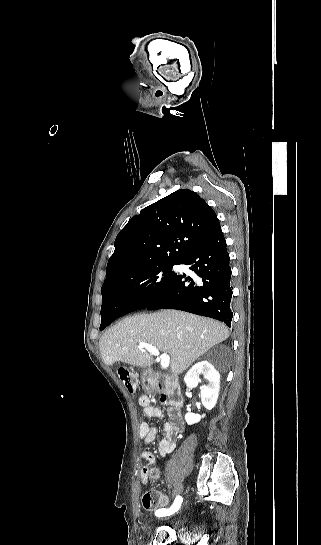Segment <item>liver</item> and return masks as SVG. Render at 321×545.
I'll use <instances>...</instances> for the list:
<instances>
[{
  "label": "liver",
  "mask_w": 321,
  "mask_h": 545,
  "mask_svg": "<svg viewBox=\"0 0 321 545\" xmlns=\"http://www.w3.org/2000/svg\"><path fill=\"white\" fill-rule=\"evenodd\" d=\"M228 337L226 325L213 319L182 311L137 313L108 329L99 341V351L105 365L121 361L145 369L153 365V357L146 349H140L138 343H148L163 355L169 353L171 373L180 375L198 357Z\"/></svg>",
  "instance_id": "obj_1"
}]
</instances>
